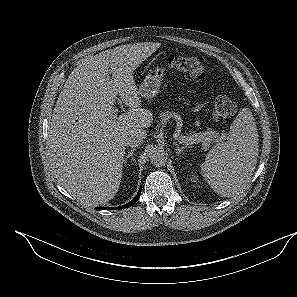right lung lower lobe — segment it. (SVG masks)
Here are the masks:
<instances>
[{"label":"right lung lower lobe","mask_w":297,"mask_h":297,"mask_svg":"<svg viewBox=\"0 0 297 297\" xmlns=\"http://www.w3.org/2000/svg\"><path fill=\"white\" fill-rule=\"evenodd\" d=\"M140 194H141V188L139 189V191H138L136 197H135L131 202H129L128 204L123 205V206H121V207H102V208H100V209L117 210V209L128 208V207L134 205V204L138 201V199H139V197H140Z\"/></svg>","instance_id":"obj_1"}]
</instances>
